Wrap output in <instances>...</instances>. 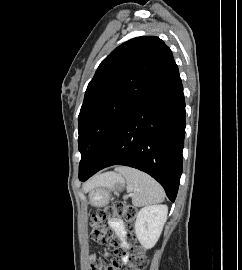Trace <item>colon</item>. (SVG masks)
I'll use <instances>...</instances> for the list:
<instances>
[{"label": "colon", "mask_w": 242, "mask_h": 270, "mask_svg": "<svg viewBox=\"0 0 242 270\" xmlns=\"http://www.w3.org/2000/svg\"><path fill=\"white\" fill-rule=\"evenodd\" d=\"M137 211L134 207L123 202H114L112 205L104 206L98 209L91 218L92 230L90 238L99 243L109 245L114 250L115 259L111 263H103L96 256L91 257V270H120L121 265L119 257L125 254V250L118 245V240L114 236L109 222L113 218L123 220L130 231L129 240L133 244L129 250L128 270H145L148 260L145 251L140 246L134 244L135 237L131 233L133 222L136 218Z\"/></svg>", "instance_id": "obj_1"}]
</instances>
